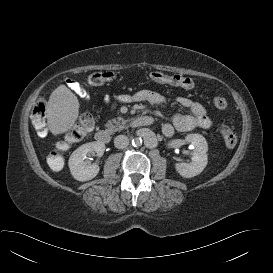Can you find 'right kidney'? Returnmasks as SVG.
Masks as SVG:
<instances>
[{
  "label": "right kidney",
  "mask_w": 273,
  "mask_h": 273,
  "mask_svg": "<svg viewBox=\"0 0 273 273\" xmlns=\"http://www.w3.org/2000/svg\"><path fill=\"white\" fill-rule=\"evenodd\" d=\"M105 151V144L100 141L89 142L78 147L69 158V168L74 179L78 181H88L99 173V165L88 164L85 161L86 155L96 153L101 157Z\"/></svg>",
  "instance_id": "ca27d5eb"
}]
</instances>
